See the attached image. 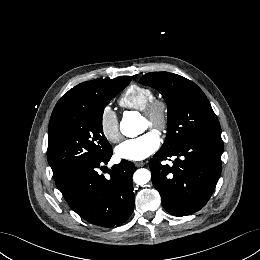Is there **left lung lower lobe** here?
<instances>
[{"label": "left lung lower lobe", "instance_id": "1", "mask_svg": "<svg viewBox=\"0 0 260 260\" xmlns=\"http://www.w3.org/2000/svg\"><path fill=\"white\" fill-rule=\"evenodd\" d=\"M221 136L190 140L174 149H160L150 160L152 182L172 215L186 216L211 197L221 173ZM174 156L173 165L161 161Z\"/></svg>", "mask_w": 260, "mask_h": 260}]
</instances>
